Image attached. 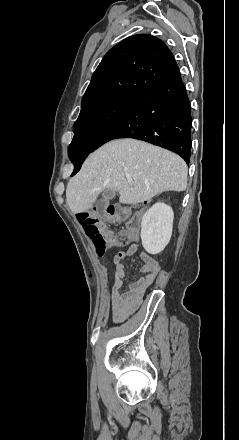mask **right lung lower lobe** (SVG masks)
Listing matches in <instances>:
<instances>
[{
	"instance_id": "right-lung-lower-lobe-1",
	"label": "right lung lower lobe",
	"mask_w": 239,
	"mask_h": 440,
	"mask_svg": "<svg viewBox=\"0 0 239 440\" xmlns=\"http://www.w3.org/2000/svg\"><path fill=\"white\" fill-rule=\"evenodd\" d=\"M191 106L176 65L146 92L135 97L120 117L96 140L91 150L69 151L75 165L72 175L89 153L117 138H134L171 150L188 164L191 150Z\"/></svg>"
}]
</instances>
